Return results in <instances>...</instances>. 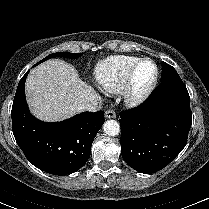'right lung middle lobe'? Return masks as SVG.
Instances as JSON below:
<instances>
[{
	"instance_id": "1",
	"label": "right lung middle lobe",
	"mask_w": 209,
	"mask_h": 209,
	"mask_svg": "<svg viewBox=\"0 0 209 209\" xmlns=\"http://www.w3.org/2000/svg\"><path fill=\"white\" fill-rule=\"evenodd\" d=\"M81 54L80 53H68V52H59V53H52L50 55H48L47 57H45L44 59H42L41 61H39L36 65L40 64L41 62L52 58V57H68V58H77L79 57Z\"/></svg>"
}]
</instances>
